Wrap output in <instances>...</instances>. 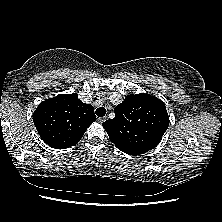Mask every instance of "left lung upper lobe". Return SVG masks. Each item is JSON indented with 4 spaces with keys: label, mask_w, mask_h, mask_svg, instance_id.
Here are the masks:
<instances>
[{
    "label": "left lung upper lobe",
    "mask_w": 222,
    "mask_h": 222,
    "mask_svg": "<svg viewBox=\"0 0 222 222\" xmlns=\"http://www.w3.org/2000/svg\"><path fill=\"white\" fill-rule=\"evenodd\" d=\"M103 127L118 149L155 148L169 126L165 104L145 93L130 94L114 109Z\"/></svg>",
    "instance_id": "5c2ea615"
}]
</instances>
